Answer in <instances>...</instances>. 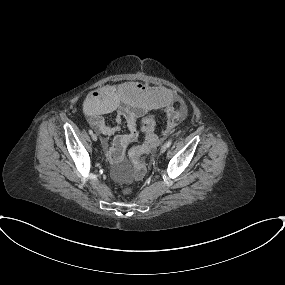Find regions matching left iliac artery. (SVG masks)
<instances>
[{"label":"left iliac artery","mask_w":285,"mask_h":285,"mask_svg":"<svg viewBox=\"0 0 285 285\" xmlns=\"http://www.w3.org/2000/svg\"><path fill=\"white\" fill-rule=\"evenodd\" d=\"M166 144H167V147H170V146H171V144H172V141H171V140H169Z\"/></svg>","instance_id":"44dca946"}]
</instances>
